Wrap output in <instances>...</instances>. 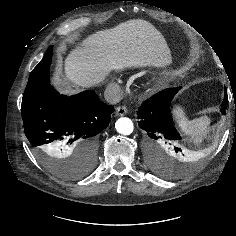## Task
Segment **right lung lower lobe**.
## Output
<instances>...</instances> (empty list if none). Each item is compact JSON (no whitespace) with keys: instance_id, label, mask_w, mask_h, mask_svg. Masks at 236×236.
Listing matches in <instances>:
<instances>
[{"instance_id":"right-lung-lower-lobe-1","label":"right lung lower lobe","mask_w":236,"mask_h":236,"mask_svg":"<svg viewBox=\"0 0 236 236\" xmlns=\"http://www.w3.org/2000/svg\"><path fill=\"white\" fill-rule=\"evenodd\" d=\"M53 46L33 69L22 98L24 132L36 150L61 153L78 145L79 160L94 164L98 134L104 130L114 108L87 90L74 96L60 95L50 84Z\"/></svg>"}]
</instances>
